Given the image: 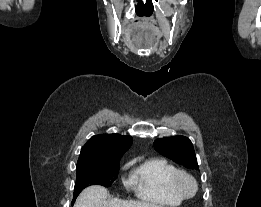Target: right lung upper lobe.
I'll return each mask as SVG.
<instances>
[{"instance_id": "right-lung-upper-lobe-1", "label": "right lung upper lobe", "mask_w": 261, "mask_h": 207, "mask_svg": "<svg viewBox=\"0 0 261 207\" xmlns=\"http://www.w3.org/2000/svg\"><path fill=\"white\" fill-rule=\"evenodd\" d=\"M132 144V137L100 134L91 137L82 147L77 165L108 163L122 155Z\"/></svg>"}]
</instances>
